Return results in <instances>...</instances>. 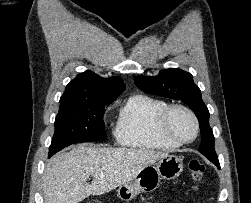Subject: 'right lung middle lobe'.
I'll use <instances>...</instances> for the list:
<instances>
[{"instance_id": "dd1d6c3e", "label": "right lung middle lobe", "mask_w": 251, "mask_h": 203, "mask_svg": "<svg viewBox=\"0 0 251 203\" xmlns=\"http://www.w3.org/2000/svg\"><path fill=\"white\" fill-rule=\"evenodd\" d=\"M112 102H78L60 105L49 157L74 143L107 139L103 114Z\"/></svg>"}]
</instances>
